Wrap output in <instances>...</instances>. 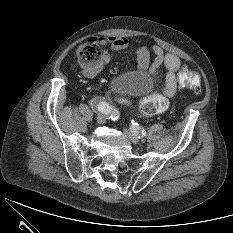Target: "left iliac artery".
I'll return each mask as SVG.
<instances>
[{
	"mask_svg": "<svg viewBox=\"0 0 233 233\" xmlns=\"http://www.w3.org/2000/svg\"><path fill=\"white\" fill-rule=\"evenodd\" d=\"M122 102L124 101L123 99L121 100ZM133 122V127H134V129L136 130V131H138L139 133H141L142 134V136H145L146 135V131L143 129V128H141L140 126H139V124L138 123H136L135 121H132Z\"/></svg>",
	"mask_w": 233,
	"mask_h": 233,
	"instance_id": "1",
	"label": "left iliac artery"
}]
</instances>
